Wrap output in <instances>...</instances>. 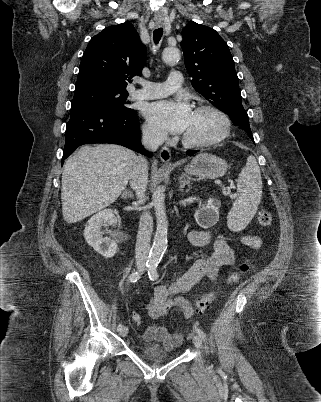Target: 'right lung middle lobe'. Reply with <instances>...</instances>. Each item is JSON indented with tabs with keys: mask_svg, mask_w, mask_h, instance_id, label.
Returning a JSON list of instances; mask_svg holds the SVG:
<instances>
[{
	"mask_svg": "<svg viewBox=\"0 0 321 402\" xmlns=\"http://www.w3.org/2000/svg\"><path fill=\"white\" fill-rule=\"evenodd\" d=\"M128 92L99 83L76 84L71 111L77 109H94L113 113L134 111L126 101Z\"/></svg>",
	"mask_w": 321,
	"mask_h": 402,
	"instance_id": "obj_1",
	"label": "right lung middle lobe"
}]
</instances>
